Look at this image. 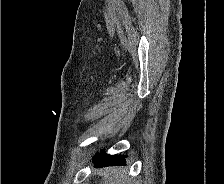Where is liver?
Wrapping results in <instances>:
<instances>
[{
  "label": "liver",
  "instance_id": "1",
  "mask_svg": "<svg viewBox=\"0 0 224 184\" xmlns=\"http://www.w3.org/2000/svg\"><path fill=\"white\" fill-rule=\"evenodd\" d=\"M103 184H129L125 178V171L121 168H107L100 171Z\"/></svg>",
  "mask_w": 224,
  "mask_h": 184
}]
</instances>
